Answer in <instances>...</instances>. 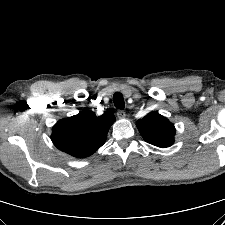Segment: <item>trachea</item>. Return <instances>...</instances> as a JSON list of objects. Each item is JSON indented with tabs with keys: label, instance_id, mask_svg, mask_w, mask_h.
<instances>
[{
	"label": "trachea",
	"instance_id": "3493384b",
	"mask_svg": "<svg viewBox=\"0 0 225 225\" xmlns=\"http://www.w3.org/2000/svg\"><path fill=\"white\" fill-rule=\"evenodd\" d=\"M113 102H114V105L117 109H124L125 107V103H124V98L122 96L121 93L119 92H116L113 96Z\"/></svg>",
	"mask_w": 225,
	"mask_h": 225
}]
</instances>
